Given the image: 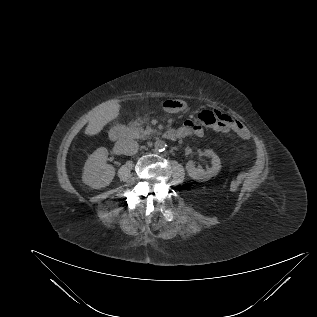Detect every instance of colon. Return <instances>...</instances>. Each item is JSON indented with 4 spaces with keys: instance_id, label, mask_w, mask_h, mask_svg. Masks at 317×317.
Masks as SVG:
<instances>
[{
    "instance_id": "1",
    "label": "colon",
    "mask_w": 317,
    "mask_h": 317,
    "mask_svg": "<svg viewBox=\"0 0 317 317\" xmlns=\"http://www.w3.org/2000/svg\"><path fill=\"white\" fill-rule=\"evenodd\" d=\"M200 121L207 126H216L220 121L219 113L212 110H203L199 113Z\"/></svg>"
}]
</instances>
